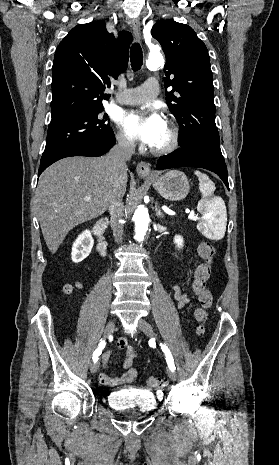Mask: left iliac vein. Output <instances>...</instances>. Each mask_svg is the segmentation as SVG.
<instances>
[{"label": "left iliac vein", "mask_w": 279, "mask_h": 465, "mask_svg": "<svg viewBox=\"0 0 279 465\" xmlns=\"http://www.w3.org/2000/svg\"><path fill=\"white\" fill-rule=\"evenodd\" d=\"M138 328L147 336H154L153 330L149 322H147L145 319H140L138 321ZM168 376L172 381H175L177 378L176 372L172 371L171 369L167 370Z\"/></svg>", "instance_id": "4c4485c4"}]
</instances>
